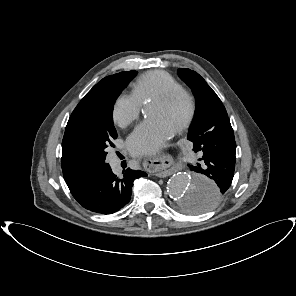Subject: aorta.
Here are the masks:
<instances>
[{"label":"aorta","instance_id":"obj_1","mask_svg":"<svg viewBox=\"0 0 296 296\" xmlns=\"http://www.w3.org/2000/svg\"><path fill=\"white\" fill-rule=\"evenodd\" d=\"M217 184L199 175L174 174L168 181L167 192L176 206L188 214H199L210 210L217 200Z\"/></svg>","mask_w":296,"mask_h":296}]
</instances>
